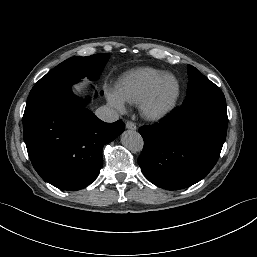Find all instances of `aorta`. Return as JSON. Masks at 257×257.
Listing matches in <instances>:
<instances>
[{"mask_svg":"<svg viewBox=\"0 0 257 257\" xmlns=\"http://www.w3.org/2000/svg\"><path fill=\"white\" fill-rule=\"evenodd\" d=\"M122 144L129 150L140 152L143 149V138L134 130L124 131L121 135Z\"/></svg>","mask_w":257,"mask_h":257,"instance_id":"1","label":"aorta"}]
</instances>
